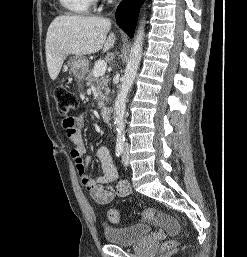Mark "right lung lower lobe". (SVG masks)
<instances>
[{
    "label": "right lung lower lobe",
    "mask_w": 247,
    "mask_h": 257,
    "mask_svg": "<svg viewBox=\"0 0 247 257\" xmlns=\"http://www.w3.org/2000/svg\"><path fill=\"white\" fill-rule=\"evenodd\" d=\"M139 10L140 0H123L116 9L115 16L118 25L131 38L134 36Z\"/></svg>",
    "instance_id": "98d812e1"
}]
</instances>
